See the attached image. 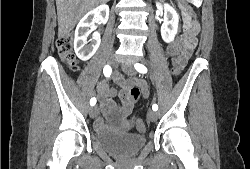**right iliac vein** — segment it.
Returning <instances> with one entry per match:
<instances>
[{"label":"right iliac vein","instance_id":"1","mask_svg":"<svg viewBox=\"0 0 250 169\" xmlns=\"http://www.w3.org/2000/svg\"><path fill=\"white\" fill-rule=\"evenodd\" d=\"M106 62L108 64L112 65L113 67L117 66L116 59H115V57L113 55H110L107 58ZM97 114H98V108H97V106H94V107H92V108L89 109V115H90L91 118H95L97 116Z\"/></svg>","mask_w":250,"mask_h":169}]
</instances>
